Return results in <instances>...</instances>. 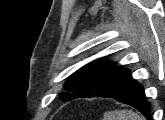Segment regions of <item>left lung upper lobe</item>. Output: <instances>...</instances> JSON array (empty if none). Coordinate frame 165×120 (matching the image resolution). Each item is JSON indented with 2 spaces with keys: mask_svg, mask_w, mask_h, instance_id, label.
Segmentation results:
<instances>
[{
  "mask_svg": "<svg viewBox=\"0 0 165 120\" xmlns=\"http://www.w3.org/2000/svg\"><path fill=\"white\" fill-rule=\"evenodd\" d=\"M129 70L116 68L112 63L93 61L70 75L60 98L70 101L81 97H107L125 80Z\"/></svg>",
  "mask_w": 165,
  "mask_h": 120,
  "instance_id": "left-lung-upper-lobe-1",
  "label": "left lung upper lobe"
}]
</instances>
